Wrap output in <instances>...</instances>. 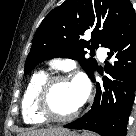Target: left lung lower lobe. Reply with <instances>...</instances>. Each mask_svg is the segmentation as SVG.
Here are the masks:
<instances>
[{"instance_id":"1","label":"left lung lower lobe","mask_w":136,"mask_h":136,"mask_svg":"<svg viewBox=\"0 0 136 136\" xmlns=\"http://www.w3.org/2000/svg\"><path fill=\"white\" fill-rule=\"evenodd\" d=\"M105 48L110 49L103 85H96V96L90 111L80 119L65 125L70 129H85L101 136H126L129 113L136 91V15L133 6ZM95 82L94 74L90 76Z\"/></svg>"}]
</instances>
